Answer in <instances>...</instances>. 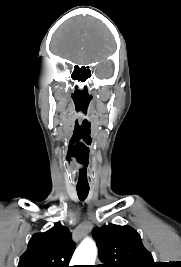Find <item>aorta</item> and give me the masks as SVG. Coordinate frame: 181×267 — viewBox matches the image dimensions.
Returning <instances> with one entry per match:
<instances>
[{"label": "aorta", "instance_id": "762f6f07", "mask_svg": "<svg viewBox=\"0 0 181 267\" xmlns=\"http://www.w3.org/2000/svg\"><path fill=\"white\" fill-rule=\"evenodd\" d=\"M96 256L97 247L95 242L90 238H86L74 252L71 264L72 266L93 265L95 263Z\"/></svg>", "mask_w": 181, "mask_h": 267}]
</instances>
